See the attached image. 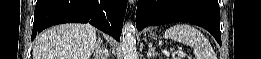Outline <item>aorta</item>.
<instances>
[{"mask_svg":"<svg viewBox=\"0 0 261 59\" xmlns=\"http://www.w3.org/2000/svg\"><path fill=\"white\" fill-rule=\"evenodd\" d=\"M135 27L132 23H125L121 34V47L124 59H137Z\"/></svg>","mask_w":261,"mask_h":59,"instance_id":"aorta-1","label":"aorta"}]
</instances>
